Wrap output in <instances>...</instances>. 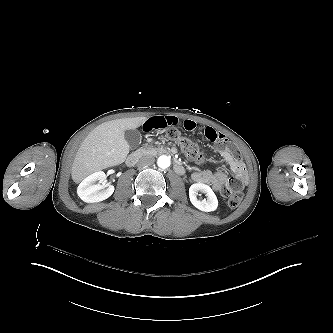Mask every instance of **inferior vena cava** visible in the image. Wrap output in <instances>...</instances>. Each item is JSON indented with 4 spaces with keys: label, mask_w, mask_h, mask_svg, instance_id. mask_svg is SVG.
Returning <instances> with one entry per match:
<instances>
[{
    "label": "inferior vena cava",
    "mask_w": 333,
    "mask_h": 333,
    "mask_svg": "<svg viewBox=\"0 0 333 333\" xmlns=\"http://www.w3.org/2000/svg\"><path fill=\"white\" fill-rule=\"evenodd\" d=\"M155 162V158L153 156H149V155H146V156H142L138 162H137V166L139 168H142V167H147V166H151L153 165Z\"/></svg>",
    "instance_id": "1"
}]
</instances>
